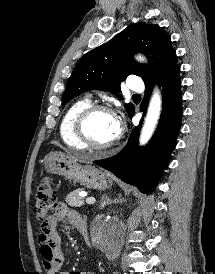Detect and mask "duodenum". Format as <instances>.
<instances>
[{
    "label": "duodenum",
    "instance_id": "obj_1",
    "mask_svg": "<svg viewBox=\"0 0 215 274\" xmlns=\"http://www.w3.org/2000/svg\"><path fill=\"white\" fill-rule=\"evenodd\" d=\"M79 232L83 235L85 241H86L87 243H90L89 235H88V231H87V227L81 229Z\"/></svg>",
    "mask_w": 215,
    "mask_h": 274
}]
</instances>
